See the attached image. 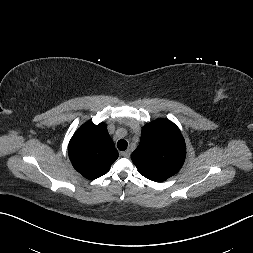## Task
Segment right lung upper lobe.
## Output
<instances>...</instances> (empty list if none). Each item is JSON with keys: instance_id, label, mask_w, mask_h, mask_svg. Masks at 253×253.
Instances as JSON below:
<instances>
[{"instance_id": "right-lung-upper-lobe-1", "label": "right lung upper lobe", "mask_w": 253, "mask_h": 253, "mask_svg": "<svg viewBox=\"0 0 253 253\" xmlns=\"http://www.w3.org/2000/svg\"><path fill=\"white\" fill-rule=\"evenodd\" d=\"M106 124L87 122L69 142L68 153L74 168L87 179L104 175L118 158Z\"/></svg>"}]
</instances>
